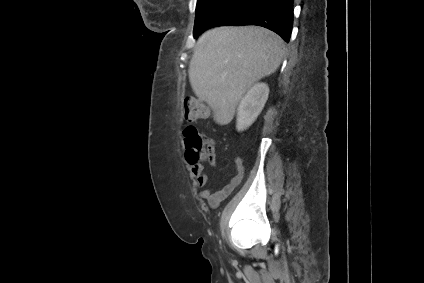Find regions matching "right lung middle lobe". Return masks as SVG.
<instances>
[{"label":"right lung middle lobe","instance_id":"right-lung-middle-lobe-1","mask_svg":"<svg viewBox=\"0 0 424 283\" xmlns=\"http://www.w3.org/2000/svg\"><path fill=\"white\" fill-rule=\"evenodd\" d=\"M226 2L227 0H198L194 33L204 27L205 24L221 10Z\"/></svg>","mask_w":424,"mask_h":283}]
</instances>
